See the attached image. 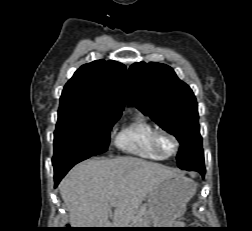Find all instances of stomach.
<instances>
[{
	"mask_svg": "<svg viewBox=\"0 0 252 231\" xmlns=\"http://www.w3.org/2000/svg\"><path fill=\"white\" fill-rule=\"evenodd\" d=\"M196 192L193 180L183 176H172L162 180L148 196V209L154 227H147L149 219L139 221L133 228H177L176 219L186 208Z\"/></svg>",
	"mask_w": 252,
	"mask_h": 231,
	"instance_id": "stomach-1",
	"label": "stomach"
}]
</instances>
